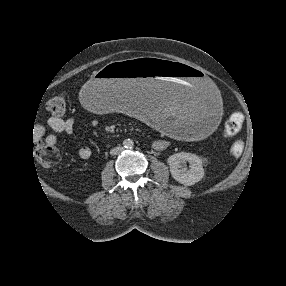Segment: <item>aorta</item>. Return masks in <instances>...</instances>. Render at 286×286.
I'll list each match as a JSON object with an SVG mask.
<instances>
[{"instance_id":"1","label":"aorta","mask_w":286,"mask_h":286,"mask_svg":"<svg viewBox=\"0 0 286 286\" xmlns=\"http://www.w3.org/2000/svg\"><path fill=\"white\" fill-rule=\"evenodd\" d=\"M124 147L127 149H131L134 146V142L131 139H126L124 142Z\"/></svg>"}]
</instances>
